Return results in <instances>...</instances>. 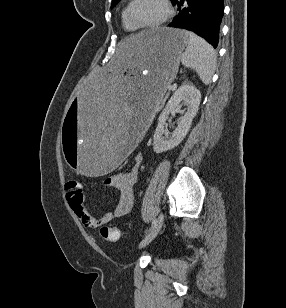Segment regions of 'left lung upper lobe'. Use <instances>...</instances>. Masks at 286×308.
<instances>
[{
	"mask_svg": "<svg viewBox=\"0 0 286 308\" xmlns=\"http://www.w3.org/2000/svg\"><path fill=\"white\" fill-rule=\"evenodd\" d=\"M172 1V0H171ZM119 2V0H112L111 6H115L117 3Z\"/></svg>",
	"mask_w": 286,
	"mask_h": 308,
	"instance_id": "1",
	"label": "left lung upper lobe"
}]
</instances>
